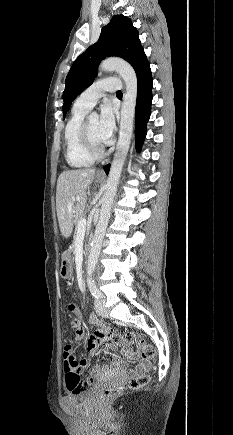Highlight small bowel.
<instances>
[{
	"label": "small bowel",
	"instance_id": "1",
	"mask_svg": "<svg viewBox=\"0 0 233 435\" xmlns=\"http://www.w3.org/2000/svg\"><path fill=\"white\" fill-rule=\"evenodd\" d=\"M74 312H75L77 317H81V312L79 309L75 308ZM89 321L91 324L96 326L97 329L94 332V334L92 336H90L88 338V340L86 341V350L89 353L94 354L97 351L98 346L101 343L107 341V339L109 338V331H108V328L106 327V325H104L100 321V319L98 318L97 315L91 314L89 317ZM75 340H77V341L84 340V332L81 331L80 333H78L75 336ZM121 352L125 356H128L130 359L137 362L136 370H142L144 368V365L141 362L140 357L133 351L132 347H130L128 345H122ZM74 360H77L76 355L68 356V357H66V359L64 361V368L63 369H64V380H65L66 386H68L67 376L69 374H76L78 376L83 372L84 369H86L90 365V360L84 358V359H81L80 361H78L77 366H74V364H73ZM122 369H124L123 363L118 361L115 358L112 359V361L109 365L100 366V365L94 364L91 366V371H90L89 377L87 378V382H90V381L94 380L95 378L102 376L108 372L121 371Z\"/></svg>",
	"mask_w": 233,
	"mask_h": 435
}]
</instances>
